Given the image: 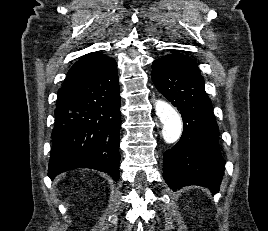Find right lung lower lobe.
Masks as SVG:
<instances>
[{"mask_svg": "<svg viewBox=\"0 0 268 231\" xmlns=\"http://www.w3.org/2000/svg\"><path fill=\"white\" fill-rule=\"evenodd\" d=\"M120 90L114 59L56 102L48 176L92 168L119 179Z\"/></svg>", "mask_w": 268, "mask_h": 231, "instance_id": "98d812e1", "label": "right lung lower lobe"}]
</instances>
